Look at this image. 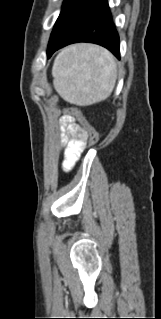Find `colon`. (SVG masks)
<instances>
[{"instance_id": "obj_1", "label": "colon", "mask_w": 161, "mask_h": 319, "mask_svg": "<svg viewBox=\"0 0 161 319\" xmlns=\"http://www.w3.org/2000/svg\"><path fill=\"white\" fill-rule=\"evenodd\" d=\"M67 111L76 117L84 129V138L88 146H93L98 141V133L96 129L88 122L82 112L76 107H69Z\"/></svg>"}]
</instances>
